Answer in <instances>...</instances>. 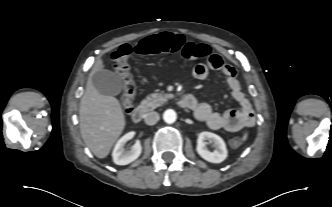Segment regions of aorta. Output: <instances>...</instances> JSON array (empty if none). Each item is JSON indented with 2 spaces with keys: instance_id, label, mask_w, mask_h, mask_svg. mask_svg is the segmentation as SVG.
<instances>
[{
  "instance_id": "1",
  "label": "aorta",
  "mask_w": 332,
  "mask_h": 207,
  "mask_svg": "<svg viewBox=\"0 0 332 207\" xmlns=\"http://www.w3.org/2000/svg\"><path fill=\"white\" fill-rule=\"evenodd\" d=\"M177 114L174 110L168 109L163 113V119L166 123L172 124L176 121Z\"/></svg>"
}]
</instances>
